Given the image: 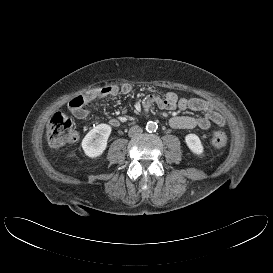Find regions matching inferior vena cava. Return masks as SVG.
Here are the masks:
<instances>
[{
    "label": "inferior vena cava",
    "mask_w": 273,
    "mask_h": 273,
    "mask_svg": "<svg viewBox=\"0 0 273 273\" xmlns=\"http://www.w3.org/2000/svg\"><path fill=\"white\" fill-rule=\"evenodd\" d=\"M142 132H143L142 128L136 125V126H132L129 129L128 135L129 137H136V136H139Z\"/></svg>",
    "instance_id": "1"
}]
</instances>
